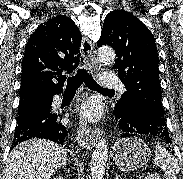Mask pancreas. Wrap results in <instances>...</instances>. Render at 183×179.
<instances>
[{
    "label": "pancreas",
    "mask_w": 183,
    "mask_h": 179,
    "mask_svg": "<svg viewBox=\"0 0 183 179\" xmlns=\"http://www.w3.org/2000/svg\"><path fill=\"white\" fill-rule=\"evenodd\" d=\"M148 179H160V177L158 175H153L151 177H148Z\"/></svg>",
    "instance_id": "1"
}]
</instances>
